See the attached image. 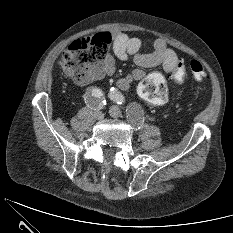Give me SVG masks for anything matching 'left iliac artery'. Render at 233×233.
<instances>
[{
  "label": "left iliac artery",
  "instance_id": "1",
  "mask_svg": "<svg viewBox=\"0 0 233 233\" xmlns=\"http://www.w3.org/2000/svg\"><path fill=\"white\" fill-rule=\"evenodd\" d=\"M109 96H110L111 100L115 101L117 104L124 103L123 95L116 88H111V92H110Z\"/></svg>",
  "mask_w": 233,
  "mask_h": 233
}]
</instances>
